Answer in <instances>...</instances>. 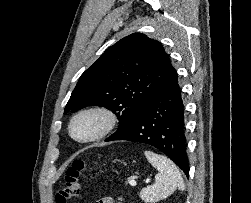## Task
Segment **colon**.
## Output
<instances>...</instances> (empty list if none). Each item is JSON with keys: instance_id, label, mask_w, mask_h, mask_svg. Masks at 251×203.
I'll use <instances>...</instances> for the list:
<instances>
[{"instance_id": "1", "label": "colon", "mask_w": 251, "mask_h": 203, "mask_svg": "<svg viewBox=\"0 0 251 203\" xmlns=\"http://www.w3.org/2000/svg\"><path fill=\"white\" fill-rule=\"evenodd\" d=\"M86 164L81 160H76L67 168L65 179L61 183L56 195V203H67L76 198L81 190L80 178Z\"/></svg>"}]
</instances>
